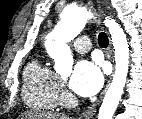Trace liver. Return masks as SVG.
<instances>
[{"instance_id":"1","label":"liver","mask_w":142,"mask_h":119,"mask_svg":"<svg viewBox=\"0 0 142 119\" xmlns=\"http://www.w3.org/2000/svg\"><path fill=\"white\" fill-rule=\"evenodd\" d=\"M21 119H69V117L64 115H57L54 113H46V112H27L21 116Z\"/></svg>"}]
</instances>
